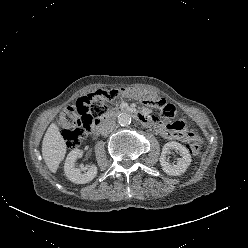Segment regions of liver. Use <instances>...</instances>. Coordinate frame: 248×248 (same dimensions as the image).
<instances>
[{
	"label": "liver",
	"mask_w": 248,
	"mask_h": 248,
	"mask_svg": "<svg viewBox=\"0 0 248 248\" xmlns=\"http://www.w3.org/2000/svg\"><path fill=\"white\" fill-rule=\"evenodd\" d=\"M66 143L58 127L51 124L42 141V156L49 170L55 173L66 154Z\"/></svg>",
	"instance_id": "liver-1"
}]
</instances>
